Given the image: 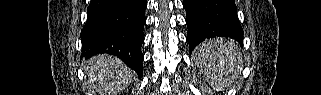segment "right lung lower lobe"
<instances>
[{
  "instance_id": "right-lung-lower-lobe-1",
  "label": "right lung lower lobe",
  "mask_w": 321,
  "mask_h": 95,
  "mask_svg": "<svg viewBox=\"0 0 321 95\" xmlns=\"http://www.w3.org/2000/svg\"><path fill=\"white\" fill-rule=\"evenodd\" d=\"M146 7L145 0H91L81 31L82 57L116 55L141 78Z\"/></svg>"
}]
</instances>
